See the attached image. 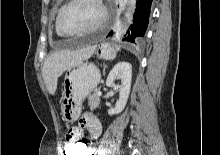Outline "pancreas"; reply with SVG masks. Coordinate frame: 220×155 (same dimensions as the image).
Here are the masks:
<instances>
[{
    "label": "pancreas",
    "mask_w": 220,
    "mask_h": 155,
    "mask_svg": "<svg viewBox=\"0 0 220 155\" xmlns=\"http://www.w3.org/2000/svg\"><path fill=\"white\" fill-rule=\"evenodd\" d=\"M100 103V98L97 95V92L94 91L91 95H89L88 97V105L90 107L91 110H94L95 108H97L99 106Z\"/></svg>",
    "instance_id": "obj_1"
}]
</instances>
